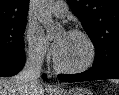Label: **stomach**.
Segmentation results:
<instances>
[{
  "label": "stomach",
  "instance_id": "1",
  "mask_svg": "<svg viewBox=\"0 0 119 95\" xmlns=\"http://www.w3.org/2000/svg\"><path fill=\"white\" fill-rule=\"evenodd\" d=\"M54 95H92V93L84 88H72L69 90L56 91Z\"/></svg>",
  "mask_w": 119,
  "mask_h": 95
}]
</instances>
